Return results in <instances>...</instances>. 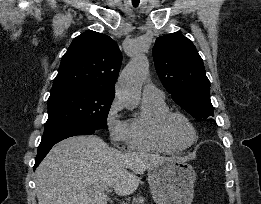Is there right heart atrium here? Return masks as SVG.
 <instances>
[{
    "label": "right heart atrium",
    "mask_w": 261,
    "mask_h": 204,
    "mask_svg": "<svg viewBox=\"0 0 261 204\" xmlns=\"http://www.w3.org/2000/svg\"><path fill=\"white\" fill-rule=\"evenodd\" d=\"M122 110V102L115 97L106 112V128L110 140L115 145L127 143L128 122L121 118Z\"/></svg>",
    "instance_id": "d8ad5b80"
}]
</instances>
